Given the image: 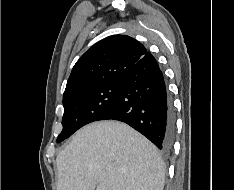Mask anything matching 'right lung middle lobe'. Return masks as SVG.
Masks as SVG:
<instances>
[{
    "label": "right lung middle lobe",
    "mask_w": 234,
    "mask_h": 190,
    "mask_svg": "<svg viewBox=\"0 0 234 190\" xmlns=\"http://www.w3.org/2000/svg\"><path fill=\"white\" fill-rule=\"evenodd\" d=\"M121 88V80L93 89L75 93L63 100V130L57 142L70 137L82 126L97 121L115 103Z\"/></svg>",
    "instance_id": "dd1d6c3e"
}]
</instances>
